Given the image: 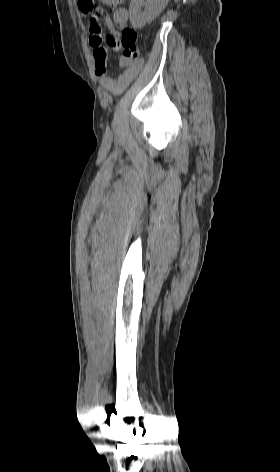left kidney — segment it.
Returning a JSON list of instances; mask_svg holds the SVG:
<instances>
[{"label": "left kidney", "instance_id": "5707ae66", "mask_svg": "<svg viewBox=\"0 0 280 472\" xmlns=\"http://www.w3.org/2000/svg\"><path fill=\"white\" fill-rule=\"evenodd\" d=\"M164 0H131L129 6L130 21L134 28H141L152 22L161 12ZM145 7L142 11L141 7Z\"/></svg>", "mask_w": 280, "mask_h": 472}]
</instances>
